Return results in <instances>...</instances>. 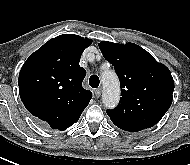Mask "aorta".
<instances>
[{
  "label": "aorta",
  "instance_id": "obj_1",
  "mask_svg": "<svg viewBox=\"0 0 190 165\" xmlns=\"http://www.w3.org/2000/svg\"><path fill=\"white\" fill-rule=\"evenodd\" d=\"M103 81V95L102 101L105 107L114 108L120 98V86L119 81L115 73L106 72L102 76Z\"/></svg>",
  "mask_w": 190,
  "mask_h": 165
}]
</instances>
